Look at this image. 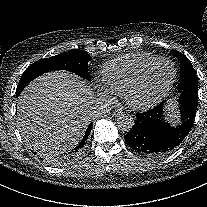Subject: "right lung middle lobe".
<instances>
[{"label": "right lung middle lobe", "instance_id": "right-lung-middle-lobe-1", "mask_svg": "<svg viewBox=\"0 0 207 207\" xmlns=\"http://www.w3.org/2000/svg\"><path fill=\"white\" fill-rule=\"evenodd\" d=\"M91 56L82 50H72L31 64L22 74L16 89V96L36 77L53 70H67L90 80L87 70Z\"/></svg>", "mask_w": 207, "mask_h": 207}]
</instances>
